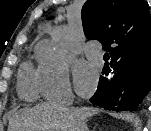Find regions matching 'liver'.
<instances>
[{
	"mask_svg": "<svg viewBox=\"0 0 151 131\" xmlns=\"http://www.w3.org/2000/svg\"><path fill=\"white\" fill-rule=\"evenodd\" d=\"M98 112L92 107L61 108L55 102H44L17 112L8 131H88L86 121Z\"/></svg>",
	"mask_w": 151,
	"mask_h": 131,
	"instance_id": "6515ba94",
	"label": "liver"
}]
</instances>
